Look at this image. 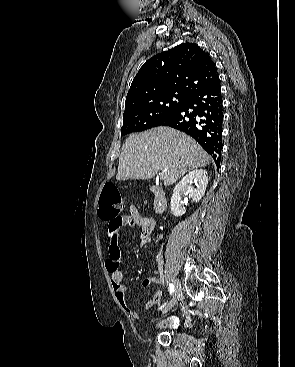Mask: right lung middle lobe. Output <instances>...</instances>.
Returning <instances> with one entry per match:
<instances>
[{
	"label": "right lung middle lobe",
	"mask_w": 295,
	"mask_h": 367,
	"mask_svg": "<svg viewBox=\"0 0 295 367\" xmlns=\"http://www.w3.org/2000/svg\"><path fill=\"white\" fill-rule=\"evenodd\" d=\"M187 97L165 93L133 102L124 111L121 136L151 128L156 121L177 110Z\"/></svg>",
	"instance_id": "obj_1"
}]
</instances>
